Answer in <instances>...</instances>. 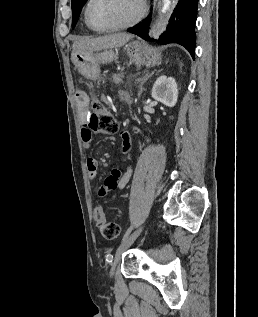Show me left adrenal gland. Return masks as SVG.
<instances>
[{"instance_id":"obj_1","label":"left adrenal gland","mask_w":258,"mask_h":317,"mask_svg":"<svg viewBox=\"0 0 258 317\" xmlns=\"http://www.w3.org/2000/svg\"><path fill=\"white\" fill-rule=\"evenodd\" d=\"M152 74H154V70H152V72H146L145 76H143V78H139V90H138V96H140L141 92H143V84L144 82H146V80H148V78H150V76H152Z\"/></svg>"}]
</instances>
